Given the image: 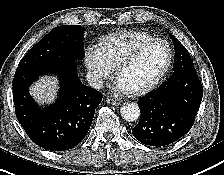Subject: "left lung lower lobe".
Here are the masks:
<instances>
[{
    "label": "left lung lower lobe",
    "instance_id": "1",
    "mask_svg": "<svg viewBox=\"0 0 224 175\" xmlns=\"http://www.w3.org/2000/svg\"><path fill=\"white\" fill-rule=\"evenodd\" d=\"M202 96L194 66L173 70L157 90L139 99L141 118L132 129L133 136L149 146L174 143L193 126Z\"/></svg>",
    "mask_w": 224,
    "mask_h": 175
}]
</instances>
